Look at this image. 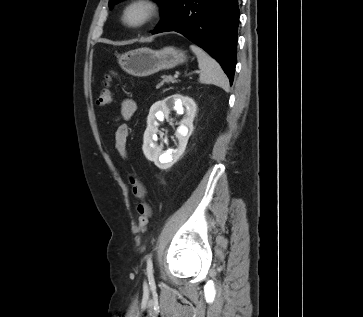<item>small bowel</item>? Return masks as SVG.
<instances>
[{"instance_id":"c3829d8e","label":"small bowel","mask_w":363,"mask_h":317,"mask_svg":"<svg viewBox=\"0 0 363 317\" xmlns=\"http://www.w3.org/2000/svg\"><path fill=\"white\" fill-rule=\"evenodd\" d=\"M136 110V103L132 99H125L121 104V117L128 120L132 117ZM129 129L126 124H120L115 129V148L119 155L123 158L127 157V139Z\"/></svg>"}]
</instances>
